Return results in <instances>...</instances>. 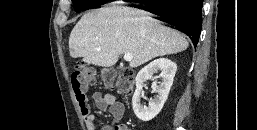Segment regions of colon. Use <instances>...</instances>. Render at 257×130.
Returning <instances> with one entry per match:
<instances>
[{
	"label": "colon",
	"mask_w": 257,
	"mask_h": 130,
	"mask_svg": "<svg viewBox=\"0 0 257 130\" xmlns=\"http://www.w3.org/2000/svg\"><path fill=\"white\" fill-rule=\"evenodd\" d=\"M100 77L106 89H116L120 95L129 96L134 87V72L130 69L116 70L107 68L101 71ZM97 73L88 65H77L71 73V83L76 98L83 101L86 90L96 83Z\"/></svg>",
	"instance_id": "5ec220e1"
}]
</instances>
